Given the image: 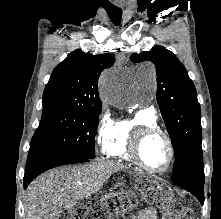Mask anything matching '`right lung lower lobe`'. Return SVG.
Here are the masks:
<instances>
[{
  "label": "right lung lower lobe",
  "instance_id": "1",
  "mask_svg": "<svg viewBox=\"0 0 221 219\" xmlns=\"http://www.w3.org/2000/svg\"><path fill=\"white\" fill-rule=\"evenodd\" d=\"M90 159L68 155L66 153L48 148L37 146L29 151L27 165L24 175V189L28 184L42 172L65 164L87 162Z\"/></svg>",
  "mask_w": 221,
  "mask_h": 219
}]
</instances>
